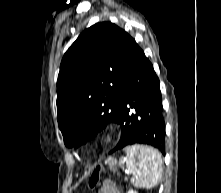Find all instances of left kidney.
Listing matches in <instances>:
<instances>
[{
  "instance_id": "1",
  "label": "left kidney",
  "mask_w": 221,
  "mask_h": 193,
  "mask_svg": "<svg viewBox=\"0 0 221 193\" xmlns=\"http://www.w3.org/2000/svg\"><path fill=\"white\" fill-rule=\"evenodd\" d=\"M127 193H138V192L134 190H129Z\"/></svg>"
}]
</instances>
